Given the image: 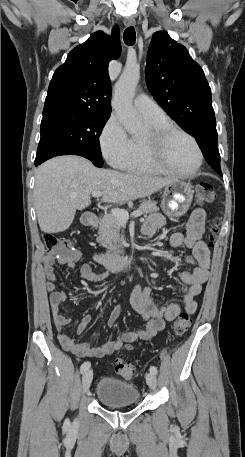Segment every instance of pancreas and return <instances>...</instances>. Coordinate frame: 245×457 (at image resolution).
I'll use <instances>...</instances> for the list:
<instances>
[{"label":"pancreas","mask_w":245,"mask_h":457,"mask_svg":"<svg viewBox=\"0 0 245 457\" xmlns=\"http://www.w3.org/2000/svg\"><path fill=\"white\" fill-rule=\"evenodd\" d=\"M137 210H141L142 214H149V212H157L159 210V206H157L154 200L148 198V200H142L139 208ZM93 229H98L96 241L105 249H108L107 253H111V255H119L123 245H118L121 241V222L113 216V214H106L103 218H100L98 222L92 224Z\"/></svg>","instance_id":"1"}]
</instances>
